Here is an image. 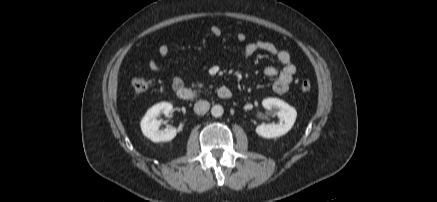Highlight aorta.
Here are the masks:
<instances>
[{
    "mask_svg": "<svg viewBox=\"0 0 437 202\" xmlns=\"http://www.w3.org/2000/svg\"><path fill=\"white\" fill-rule=\"evenodd\" d=\"M224 113V109L221 105H214L211 109V114L213 117H221Z\"/></svg>",
    "mask_w": 437,
    "mask_h": 202,
    "instance_id": "aorta-1",
    "label": "aorta"
}]
</instances>
